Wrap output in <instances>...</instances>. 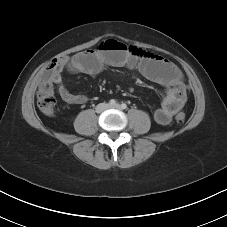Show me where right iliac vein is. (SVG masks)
Instances as JSON below:
<instances>
[{
    "label": "right iliac vein",
    "instance_id": "right-iliac-vein-1",
    "mask_svg": "<svg viewBox=\"0 0 227 227\" xmlns=\"http://www.w3.org/2000/svg\"><path fill=\"white\" fill-rule=\"evenodd\" d=\"M106 108H108V105H107V104H100V105L97 107V111H98V112H102V111L105 110Z\"/></svg>",
    "mask_w": 227,
    "mask_h": 227
}]
</instances>
